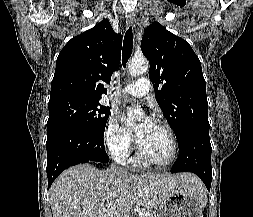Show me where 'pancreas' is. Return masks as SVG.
<instances>
[{
	"label": "pancreas",
	"mask_w": 253,
	"mask_h": 217,
	"mask_svg": "<svg viewBox=\"0 0 253 217\" xmlns=\"http://www.w3.org/2000/svg\"><path fill=\"white\" fill-rule=\"evenodd\" d=\"M146 217H157L155 212H148Z\"/></svg>",
	"instance_id": "cf45deb5"
}]
</instances>
